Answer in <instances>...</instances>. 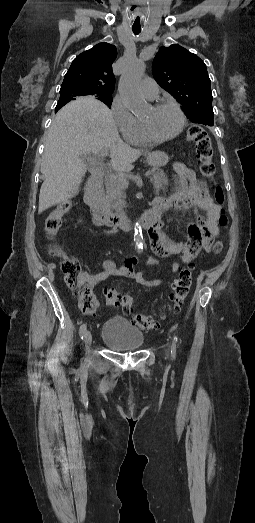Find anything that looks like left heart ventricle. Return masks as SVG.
<instances>
[{
  "label": "left heart ventricle",
  "instance_id": "left-heart-ventricle-1",
  "mask_svg": "<svg viewBox=\"0 0 255 523\" xmlns=\"http://www.w3.org/2000/svg\"><path fill=\"white\" fill-rule=\"evenodd\" d=\"M141 119L147 122L150 131L157 137L173 134L180 124L179 115L171 106H164L157 110L151 108L145 112Z\"/></svg>",
  "mask_w": 255,
  "mask_h": 523
}]
</instances>
